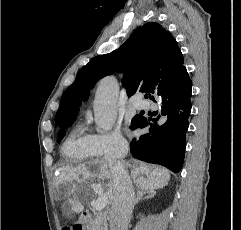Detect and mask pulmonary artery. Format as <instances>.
<instances>
[{"label": "pulmonary artery", "instance_id": "e3ab8cb5", "mask_svg": "<svg viewBox=\"0 0 241 230\" xmlns=\"http://www.w3.org/2000/svg\"><path fill=\"white\" fill-rule=\"evenodd\" d=\"M147 106H148V104L144 100H140V101H137V102L134 103V107H136L138 109L145 108Z\"/></svg>", "mask_w": 241, "mask_h": 230}]
</instances>
